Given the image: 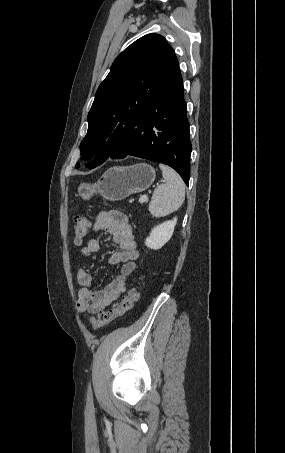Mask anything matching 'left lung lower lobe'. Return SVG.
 I'll list each match as a JSON object with an SVG mask.
<instances>
[{
    "instance_id": "left-lung-lower-lobe-1",
    "label": "left lung lower lobe",
    "mask_w": 285,
    "mask_h": 453,
    "mask_svg": "<svg viewBox=\"0 0 285 453\" xmlns=\"http://www.w3.org/2000/svg\"><path fill=\"white\" fill-rule=\"evenodd\" d=\"M183 90L176 58L150 102L109 158L122 159L131 155L166 164L188 185L192 146Z\"/></svg>"
}]
</instances>
